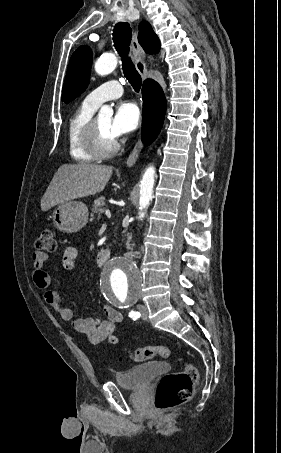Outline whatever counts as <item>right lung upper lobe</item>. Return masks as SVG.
<instances>
[{
  "mask_svg": "<svg viewBox=\"0 0 281 453\" xmlns=\"http://www.w3.org/2000/svg\"><path fill=\"white\" fill-rule=\"evenodd\" d=\"M138 41L143 49L150 54L158 53L160 50L159 38L147 21H142L139 25Z\"/></svg>",
  "mask_w": 281,
  "mask_h": 453,
  "instance_id": "right-lung-upper-lobe-1",
  "label": "right lung upper lobe"
}]
</instances>
